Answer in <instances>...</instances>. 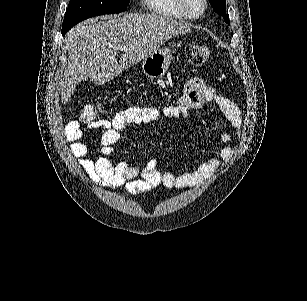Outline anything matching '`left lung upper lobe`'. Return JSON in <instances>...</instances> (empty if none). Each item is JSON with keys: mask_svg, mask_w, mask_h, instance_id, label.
Wrapping results in <instances>:
<instances>
[{"mask_svg": "<svg viewBox=\"0 0 307 301\" xmlns=\"http://www.w3.org/2000/svg\"><path fill=\"white\" fill-rule=\"evenodd\" d=\"M214 11L223 16L225 22L230 25L229 15L226 13V1L225 0H209Z\"/></svg>", "mask_w": 307, "mask_h": 301, "instance_id": "obj_1", "label": "left lung upper lobe"}]
</instances>
